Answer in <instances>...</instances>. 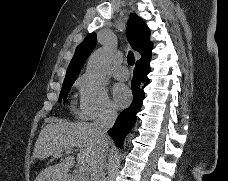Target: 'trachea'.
I'll use <instances>...</instances> for the list:
<instances>
[{"label": "trachea", "instance_id": "1", "mask_svg": "<svg viewBox=\"0 0 228 181\" xmlns=\"http://www.w3.org/2000/svg\"><path fill=\"white\" fill-rule=\"evenodd\" d=\"M127 62H128V65H130V66H133L135 63V58H134L132 51H129V53H128Z\"/></svg>", "mask_w": 228, "mask_h": 181}]
</instances>
